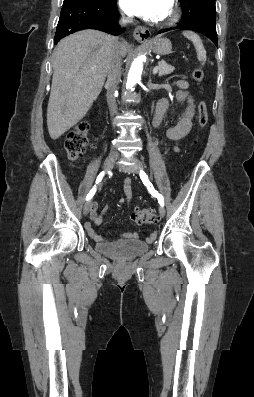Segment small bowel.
Segmentation results:
<instances>
[{
  "label": "small bowel",
  "mask_w": 254,
  "mask_h": 397,
  "mask_svg": "<svg viewBox=\"0 0 254 397\" xmlns=\"http://www.w3.org/2000/svg\"><path fill=\"white\" fill-rule=\"evenodd\" d=\"M177 86L179 87V91L177 93V98L180 101H187L188 106L185 113L179 119L178 123L169 128L167 131V136L169 139L173 140L176 144L186 136L192 127V119L195 114V105L193 97L187 92L188 83L186 81H178ZM169 99L163 98L161 99L156 108L155 116L153 119V125L155 127L159 126L168 107H169ZM175 151H178V146H175ZM124 193L126 195L127 202L130 203L132 199V190H131V179L129 177L124 180ZM107 207L104 208L103 212H106ZM90 219L95 225H100L103 222V214H98V205L93 203L90 209ZM92 222L85 223V229L90 236V238L96 242L104 241V238L98 234L97 231L92 226ZM128 239H137L138 234L136 232H128L122 235ZM156 237V233H152L148 238V241L154 240Z\"/></svg>",
  "instance_id": "1"
}]
</instances>
